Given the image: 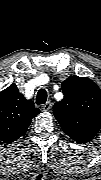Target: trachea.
Here are the masks:
<instances>
[{
	"mask_svg": "<svg viewBox=\"0 0 101 180\" xmlns=\"http://www.w3.org/2000/svg\"><path fill=\"white\" fill-rule=\"evenodd\" d=\"M47 101V91L45 89H40L36 96V104L41 105L45 104Z\"/></svg>",
	"mask_w": 101,
	"mask_h": 180,
	"instance_id": "trachea-1",
	"label": "trachea"
}]
</instances>
